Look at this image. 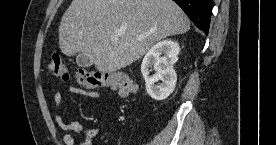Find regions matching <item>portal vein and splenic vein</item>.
I'll list each match as a JSON object with an SVG mask.
<instances>
[{
	"label": "portal vein and splenic vein",
	"instance_id": "portal-vein-and-splenic-vein-1",
	"mask_svg": "<svg viewBox=\"0 0 276 145\" xmlns=\"http://www.w3.org/2000/svg\"><path fill=\"white\" fill-rule=\"evenodd\" d=\"M122 34H123L122 31H117V35H118V36H121Z\"/></svg>",
	"mask_w": 276,
	"mask_h": 145
}]
</instances>
